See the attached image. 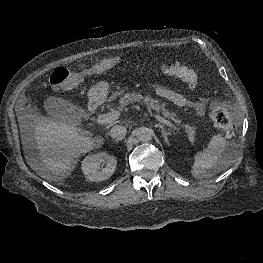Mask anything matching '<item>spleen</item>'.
Masks as SVG:
<instances>
[{"mask_svg":"<svg viewBox=\"0 0 263 263\" xmlns=\"http://www.w3.org/2000/svg\"><path fill=\"white\" fill-rule=\"evenodd\" d=\"M232 151L233 148L221 134L214 135L208 146L195 155L192 175L195 178L205 177L208 175V170L213 167L217 170H225L234 163Z\"/></svg>","mask_w":263,"mask_h":263,"instance_id":"1","label":"spleen"}]
</instances>
